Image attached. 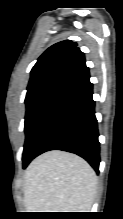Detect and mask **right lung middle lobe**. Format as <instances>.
Masks as SVG:
<instances>
[{
	"mask_svg": "<svg viewBox=\"0 0 123 219\" xmlns=\"http://www.w3.org/2000/svg\"><path fill=\"white\" fill-rule=\"evenodd\" d=\"M68 80H55L27 91L25 116V144L23 166L30 160L32 145L37 138L49 110L69 85Z\"/></svg>",
	"mask_w": 123,
	"mask_h": 219,
	"instance_id": "1",
	"label": "right lung middle lobe"
}]
</instances>
